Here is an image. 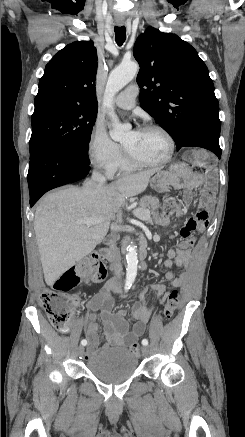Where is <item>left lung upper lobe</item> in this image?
I'll use <instances>...</instances> for the list:
<instances>
[{"instance_id": "5c2ea615", "label": "left lung upper lobe", "mask_w": 245, "mask_h": 437, "mask_svg": "<svg viewBox=\"0 0 245 437\" xmlns=\"http://www.w3.org/2000/svg\"><path fill=\"white\" fill-rule=\"evenodd\" d=\"M133 52L140 65V105L169 133L177 149L195 131L210 130L220 135L213 82L189 43L148 27L137 38Z\"/></svg>"}]
</instances>
